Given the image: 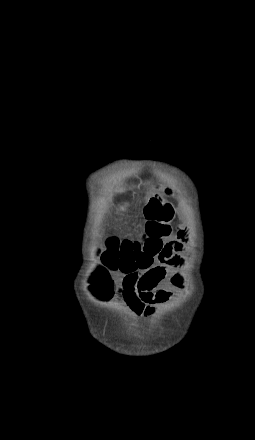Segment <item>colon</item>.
<instances>
[{"instance_id":"colon-1","label":"colon","mask_w":255,"mask_h":440,"mask_svg":"<svg viewBox=\"0 0 255 440\" xmlns=\"http://www.w3.org/2000/svg\"><path fill=\"white\" fill-rule=\"evenodd\" d=\"M174 216L173 205L161 193L152 194L144 207L145 225L141 236L138 239H108L103 252L104 265L122 273L149 268L156 258L160 259L165 255L166 244L163 238L171 234ZM108 284L105 274L100 273L96 276L92 289L105 299Z\"/></svg>"}]
</instances>
